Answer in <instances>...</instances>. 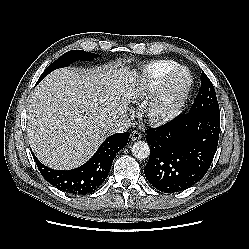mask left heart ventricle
I'll list each match as a JSON object with an SVG mask.
<instances>
[{
  "label": "left heart ventricle",
  "mask_w": 249,
  "mask_h": 249,
  "mask_svg": "<svg viewBox=\"0 0 249 249\" xmlns=\"http://www.w3.org/2000/svg\"><path fill=\"white\" fill-rule=\"evenodd\" d=\"M186 80H187L186 73L184 72L180 73L174 81L173 84L174 91L175 92L178 91L185 84Z\"/></svg>",
  "instance_id": "b2bd125f"
}]
</instances>
